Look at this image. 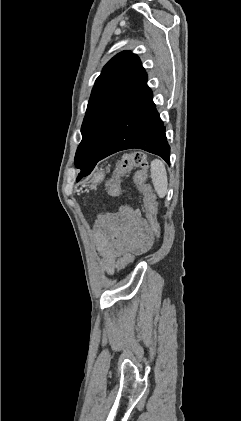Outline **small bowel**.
<instances>
[{"instance_id": "c3829d8e", "label": "small bowel", "mask_w": 241, "mask_h": 421, "mask_svg": "<svg viewBox=\"0 0 241 421\" xmlns=\"http://www.w3.org/2000/svg\"><path fill=\"white\" fill-rule=\"evenodd\" d=\"M153 232L137 210L122 209L99 216L93 239L107 274L117 268V259L126 254L142 255L153 243Z\"/></svg>"}]
</instances>
